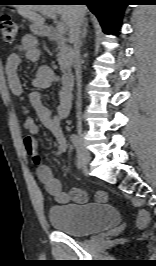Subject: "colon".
Masks as SVG:
<instances>
[{
    "instance_id": "5ec220e1",
    "label": "colon",
    "mask_w": 156,
    "mask_h": 266,
    "mask_svg": "<svg viewBox=\"0 0 156 266\" xmlns=\"http://www.w3.org/2000/svg\"><path fill=\"white\" fill-rule=\"evenodd\" d=\"M0 32L3 41L10 45L12 44L18 33V27L15 21L8 15H4L0 20ZM36 162L39 160L36 159ZM149 218L147 213L140 212L138 218H137V224L139 227H145L148 224Z\"/></svg>"
}]
</instances>
